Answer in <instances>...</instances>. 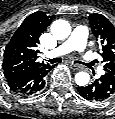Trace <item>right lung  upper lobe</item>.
<instances>
[{
	"mask_svg": "<svg viewBox=\"0 0 115 119\" xmlns=\"http://www.w3.org/2000/svg\"><path fill=\"white\" fill-rule=\"evenodd\" d=\"M53 17L38 11L29 15L17 29L4 51L3 70L7 80L46 66L38 61V44Z\"/></svg>",
	"mask_w": 115,
	"mask_h": 119,
	"instance_id": "cb5924a9",
	"label": "right lung upper lobe"
}]
</instances>
